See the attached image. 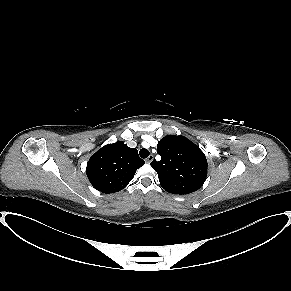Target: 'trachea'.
<instances>
[{
    "label": "trachea",
    "mask_w": 291,
    "mask_h": 291,
    "mask_svg": "<svg viewBox=\"0 0 291 291\" xmlns=\"http://www.w3.org/2000/svg\"><path fill=\"white\" fill-rule=\"evenodd\" d=\"M139 155L141 158H147L149 156V151L143 148L139 151Z\"/></svg>",
    "instance_id": "3493384b"
}]
</instances>
